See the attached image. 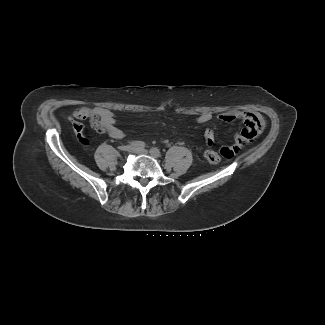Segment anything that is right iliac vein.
Here are the masks:
<instances>
[{
	"mask_svg": "<svg viewBox=\"0 0 325 325\" xmlns=\"http://www.w3.org/2000/svg\"><path fill=\"white\" fill-rule=\"evenodd\" d=\"M134 147L130 146V145H124L120 147V150L124 151V152H131L133 151Z\"/></svg>",
	"mask_w": 325,
	"mask_h": 325,
	"instance_id": "right-iliac-vein-1",
	"label": "right iliac vein"
}]
</instances>
